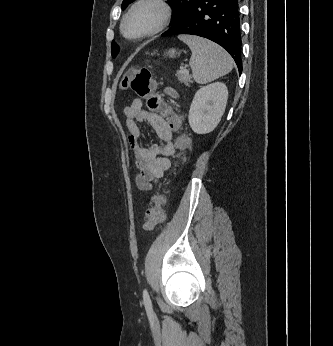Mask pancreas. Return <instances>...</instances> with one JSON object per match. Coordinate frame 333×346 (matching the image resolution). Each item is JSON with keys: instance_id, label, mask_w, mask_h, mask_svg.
Returning <instances> with one entry per match:
<instances>
[{"instance_id": "pancreas-1", "label": "pancreas", "mask_w": 333, "mask_h": 346, "mask_svg": "<svg viewBox=\"0 0 333 346\" xmlns=\"http://www.w3.org/2000/svg\"><path fill=\"white\" fill-rule=\"evenodd\" d=\"M176 76L181 83H184L186 86H189L191 83V76L187 73H183L182 70L177 71Z\"/></svg>"}]
</instances>
